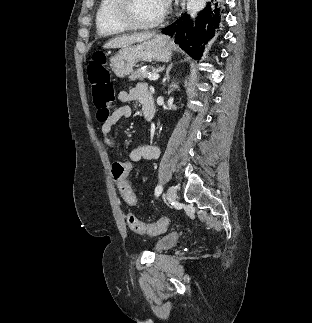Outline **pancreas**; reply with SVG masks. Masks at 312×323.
Wrapping results in <instances>:
<instances>
[{
    "mask_svg": "<svg viewBox=\"0 0 312 323\" xmlns=\"http://www.w3.org/2000/svg\"><path fill=\"white\" fill-rule=\"evenodd\" d=\"M145 78H149V70H140V68L129 76V80H132V82H135V80H145Z\"/></svg>",
    "mask_w": 312,
    "mask_h": 323,
    "instance_id": "1",
    "label": "pancreas"
}]
</instances>
